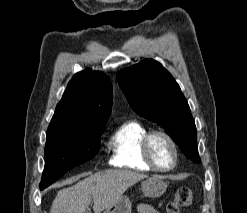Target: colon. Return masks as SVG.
<instances>
[{
  "instance_id": "colon-1",
  "label": "colon",
  "mask_w": 247,
  "mask_h": 213,
  "mask_svg": "<svg viewBox=\"0 0 247 213\" xmlns=\"http://www.w3.org/2000/svg\"><path fill=\"white\" fill-rule=\"evenodd\" d=\"M193 203L192 192L188 188L179 189L167 206V213H181Z\"/></svg>"
}]
</instances>
